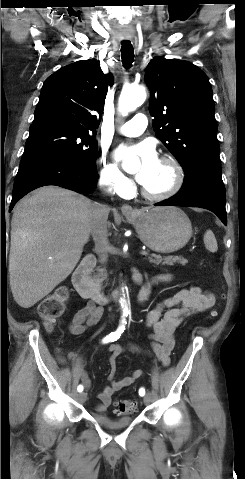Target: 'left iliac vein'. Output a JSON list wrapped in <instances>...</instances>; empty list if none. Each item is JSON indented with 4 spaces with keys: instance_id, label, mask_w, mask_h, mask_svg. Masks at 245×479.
I'll return each instance as SVG.
<instances>
[{
    "instance_id": "left-iliac-vein-1",
    "label": "left iliac vein",
    "mask_w": 245,
    "mask_h": 479,
    "mask_svg": "<svg viewBox=\"0 0 245 479\" xmlns=\"http://www.w3.org/2000/svg\"><path fill=\"white\" fill-rule=\"evenodd\" d=\"M150 398H151L150 395H149V394H146L145 397H144V399H143V400H144V403H145V404H148V403L150 402Z\"/></svg>"
}]
</instances>
